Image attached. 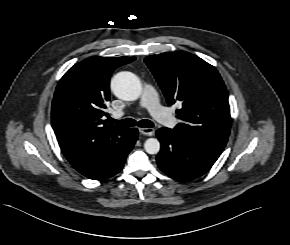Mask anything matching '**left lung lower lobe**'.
<instances>
[{
    "instance_id": "obj_1",
    "label": "left lung lower lobe",
    "mask_w": 290,
    "mask_h": 245,
    "mask_svg": "<svg viewBox=\"0 0 290 245\" xmlns=\"http://www.w3.org/2000/svg\"><path fill=\"white\" fill-rule=\"evenodd\" d=\"M156 135L161 143V150L156 157L158 167L178 181H191L205 174L222 153L169 128L158 129Z\"/></svg>"
}]
</instances>
